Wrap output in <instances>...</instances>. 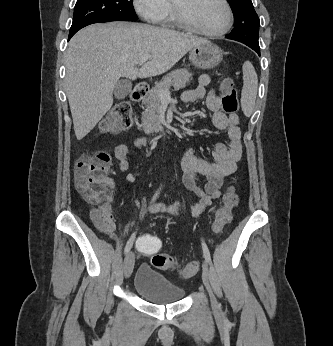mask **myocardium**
I'll list each match as a JSON object with an SVG mask.
<instances>
[{
	"label": "myocardium",
	"mask_w": 333,
	"mask_h": 346,
	"mask_svg": "<svg viewBox=\"0 0 333 346\" xmlns=\"http://www.w3.org/2000/svg\"><path fill=\"white\" fill-rule=\"evenodd\" d=\"M172 1V8H173V13L175 16V20L185 29L194 32L196 34L202 35V36H206V37H219L222 36L224 34H226L232 27L233 25V19H234V15H233V10L232 7L229 3L228 0H221V2L223 3L225 9H226V13H227V19H226V23L223 26V28H221L218 31H205L202 30L201 28H199L198 26H196L191 20L190 18L186 15V13L184 12L183 7L178 4L175 0H171Z\"/></svg>",
	"instance_id": "obj_1"
}]
</instances>
